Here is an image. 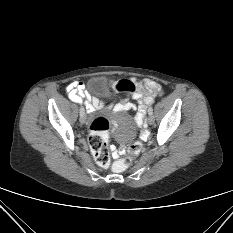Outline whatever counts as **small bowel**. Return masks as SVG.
<instances>
[{
	"label": "small bowel",
	"mask_w": 233,
	"mask_h": 233,
	"mask_svg": "<svg viewBox=\"0 0 233 233\" xmlns=\"http://www.w3.org/2000/svg\"><path fill=\"white\" fill-rule=\"evenodd\" d=\"M131 82L135 85L133 98L137 101L138 105L130 102H120L117 104L106 102L99 99L97 96L91 95L85 90V85L81 81H74L66 87V92L69 98L76 103H83L88 112L95 110H104L113 114L120 113L129 109H137L136 122L141 124L147 107L152 104L158 95L163 93L162 87L159 83L152 79L145 78L141 81L132 79ZM112 155L115 159L119 158L123 153V149H112Z\"/></svg>",
	"instance_id": "small-bowel-1"
}]
</instances>
